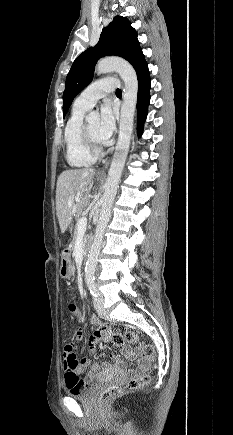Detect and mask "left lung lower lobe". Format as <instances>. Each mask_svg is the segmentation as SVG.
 I'll list each match as a JSON object with an SVG mask.
<instances>
[{
  "instance_id": "obj_1",
  "label": "left lung lower lobe",
  "mask_w": 233,
  "mask_h": 435,
  "mask_svg": "<svg viewBox=\"0 0 233 435\" xmlns=\"http://www.w3.org/2000/svg\"><path fill=\"white\" fill-rule=\"evenodd\" d=\"M138 79V98H137V133L142 134L144 122L148 113V105L150 102V87L151 79L149 75L148 65H145L137 72Z\"/></svg>"
}]
</instances>
